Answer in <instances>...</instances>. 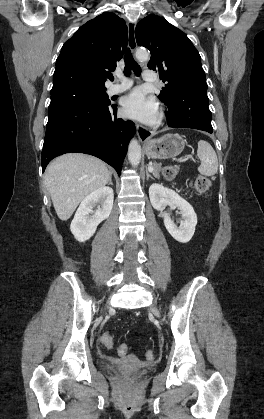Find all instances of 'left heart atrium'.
I'll list each match as a JSON object with an SVG mask.
<instances>
[{
    "mask_svg": "<svg viewBox=\"0 0 264 419\" xmlns=\"http://www.w3.org/2000/svg\"><path fill=\"white\" fill-rule=\"evenodd\" d=\"M123 111L126 116L146 123H152L157 118L155 101L148 97L142 89H135L125 97Z\"/></svg>",
    "mask_w": 264,
    "mask_h": 419,
    "instance_id": "obj_1",
    "label": "left heart atrium"
}]
</instances>
